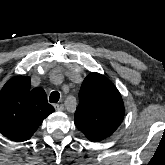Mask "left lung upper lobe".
I'll use <instances>...</instances> for the list:
<instances>
[{"label": "left lung upper lobe", "instance_id": "1", "mask_svg": "<svg viewBox=\"0 0 165 165\" xmlns=\"http://www.w3.org/2000/svg\"><path fill=\"white\" fill-rule=\"evenodd\" d=\"M125 114L122 97L105 76L93 72L83 81L74 123L92 142L106 139L119 127Z\"/></svg>", "mask_w": 165, "mask_h": 165}]
</instances>
